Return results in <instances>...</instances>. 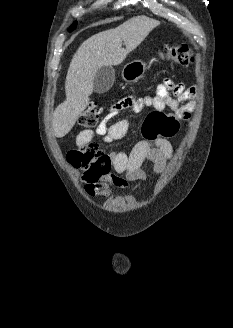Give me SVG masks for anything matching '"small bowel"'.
Masks as SVG:
<instances>
[{"label": "small bowel", "instance_id": "1", "mask_svg": "<svg viewBox=\"0 0 233 328\" xmlns=\"http://www.w3.org/2000/svg\"><path fill=\"white\" fill-rule=\"evenodd\" d=\"M170 92L173 93V97ZM195 95L194 86L186 87L183 83L165 79L157 86L153 96L129 95L113 104L110 113L103 119L96 131H81L77 136V143L78 145L89 143L95 135L102 137L107 143L123 138L128 131V120L121 119L111 125L109 122L126 109L140 112L146 107H152L158 111L169 108L178 119L187 121L195 106L193 101ZM172 153L171 143L164 138L154 142L142 140L136 143L129 152H114L111 154L114 172L105 176L102 183L96 187L87 188V193L103 199L109 196L110 187L124 188L131 181H145L146 174L141 168L144 162H151L155 173L160 174Z\"/></svg>", "mask_w": 233, "mask_h": 328}]
</instances>
